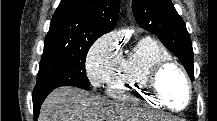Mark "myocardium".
Segmentation results:
<instances>
[{
	"label": "myocardium",
	"mask_w": 217,
	"mask_h": 121,
	"mask_svg": "<svg viewBox=\"0 0 217 121\" xmlns=\"http://www.w3.org/2000/svg\"><path fill=\"white\" fill-rule=\"evenodd\" d=\"M170 69L176 70L181 77L183 78L186 89H187V100L183 107L176 108L172 106L161 94L160 88H159V80L160 77ZM147 88L148 93L151 95L154 101H156L161 106L173 111V112H181L184 111L191 103L193 98V89H192V83L191 80L185 71V69L176 61L172 59L164 60L159 63H157L153 68L151 69L148 78H147Z\"/></svg>",
	"instance_id": "obj_1"
}]
</instances>
